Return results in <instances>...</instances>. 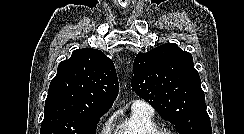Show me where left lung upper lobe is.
<instances>
[{"instance_id":"obj_1","label":"left lung upper lobe","mask_w":244,"mask_h":134,"mask_svg":"<svg viewBox=\"0 0 244 134\" xmlns=\"http://www.w3.org/2000/svg\"><path fill=\"white\" fill-rule=\"evenodd\" d=\"M132 90L179 134H212L199 73L189 52L175 43L139 53L133 64Z\"/></svg>"}]
</instances>
